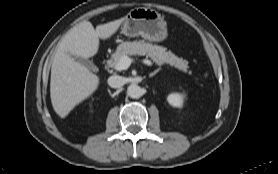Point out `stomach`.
<instances>
[{
    "instance_id": "0dacf381",
    "label": "stomach",
    "mask_w": 278,
    "mask_h": 174,
    "mask_svg": "<svg viewBox=\"0 0 278 174\" xmlns=\"http://www.w3.org/2000/svg\"><path fill=\"white\" fill-rule=\"evenodd\" d=\"M121 32L128 37L141 36L151 42H161L167 37V24L154 9L138 7L125 17Z\"/></svg>"
}]
</instances>
